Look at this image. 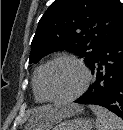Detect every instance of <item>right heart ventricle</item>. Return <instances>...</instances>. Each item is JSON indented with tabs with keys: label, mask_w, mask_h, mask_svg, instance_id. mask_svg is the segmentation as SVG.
Instances as JSON below:
<instances>
[{
	"label": "right heart ventricle",
	"mask_w": 123,
	"mask_h": 130,
	"mask_svg": "<svg viewBox=\"0 0 123 130\" xmlns=\"http://www.w3.org/2000/svg\"><path fill=\"white\" fill-rule=\"evenodd\" d=\"M45 64L46 63H42L35 69L32 78V88L34 92V98L39 103L46 102V99L43 97L40 90V75Z\"/></svg>",
	"instance_id": "right-heart-ventricle-1"
}]
</instances>
